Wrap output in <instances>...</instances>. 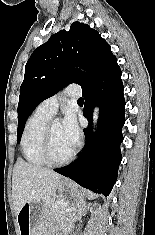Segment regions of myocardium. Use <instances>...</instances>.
I'll return each mask as SVG.
<instances>
[{
  "label": "myocardium",
  "mask_w": 155,
  "mask_h": 235,
  "mask_svg": "<svg viewBox=\"0 0 155 235\" xmlns=\"http://www.w3.org/2000/svg\"><path fill=\"white\" fill-rule=\"evenodd\" d=\"M55 120H49V122L46 124L44 131H43V138H42V144H41V153L44 158V160L51 165H64L69 163L76 154V149L74 148L71 153L63 158V159H56L51 151V128L52 124Z\"/></svg>",
  "instance_id": "obj_1"
}]
</instances>
